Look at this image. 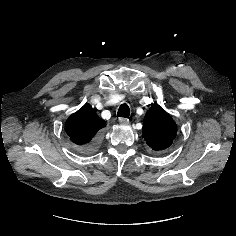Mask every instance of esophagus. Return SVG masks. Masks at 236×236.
Returning <instances> with one entry per match:
<instances>
[{
  "label": "esophagus",
  "instance_id": "esophagus-1",
  "mask_svg": "<svg viewBox=\"0 0 236 236\" xmlns=\"http://www.w3.org/2000/svg\"><path fill=\"white\" fill-rule=\"evenodd\" d=\"M118 121L120 124H123V125H127L129 123V120L123 117L119 118Z\"/></svg>",
  "mask_w": 236,
  "mask_h": 236
}]
</instances>
